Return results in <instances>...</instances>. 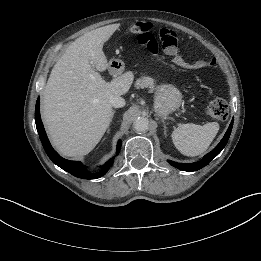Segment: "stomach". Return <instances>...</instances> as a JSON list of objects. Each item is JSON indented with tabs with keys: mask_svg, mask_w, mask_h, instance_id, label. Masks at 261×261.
Listing matches in <instances>:
<instances>
[{
	"mask_svg": "<svg viewBox=\"0 0 261 261\" xmlns=\"http://www.w3.org/2000/svg\"><path fill=\"white\" fill-rule=\"evenodd\" d=\"M112 68H119L121 72L124 68L123 64L112 60L110 63ZM182 104V93L174 85L162 83L156 87L154 98L155 112L162 118L167 117L170 113L177 110Z\"/></svg>",
	"mask_w": 261,
	"mask_h": 261,
	"instance_id": "obj_1",
	"label": "stomach"
}]
</instances>
